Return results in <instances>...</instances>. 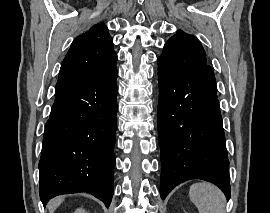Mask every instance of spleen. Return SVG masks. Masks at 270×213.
<instances>
[{
    "instance_id": "3e777b00",
    "label": "spleen",
    "mask_w": 270,
    "mask_h": 213,
    "mask_svg": "<svg viewBox=\"0 0 270 213\" xmlns=\"http://www.w3.org/2000/svg\"><path fill=\"white\" fill-rule=\"evenodd\" d=\"M189 197L199 213H225V196L213 184L207 182L193 184L189 190Z\"/></svg>"
}]
</instances>
